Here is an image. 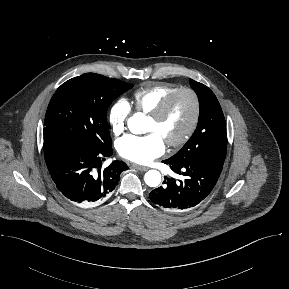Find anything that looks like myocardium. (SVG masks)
<instances>
[{
	"label": "myocardium",
	"mask_w": 289,
	"mask_h": 289,
	"mask_svg": "<svg viewBox=\"0 0 289 289\" xmlns=\"http://www.w3.org/2000/svg\"><path fill=\"white\" fill-rule=\"evenodd\" d=\"M181 93H188L192 97L194 102V113L191 123L187 130L184 132V134L176 140L166 142L167 146L170 148H179L183 146L191 139V137L196 132L201 117V101L199 95L194 89L190 87H180L167 95L162 100V102L151 113H149V117L153 120H161L168 112L174 99Z\"/></svg>",
	"instance_id": "myocardium-1"
}]
</instances>
